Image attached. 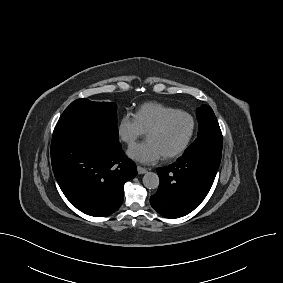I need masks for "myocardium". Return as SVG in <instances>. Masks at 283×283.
<instances>
[{
  "label": "myocardium",
  "instance_id": "1",
  "mask_svg": "<svg viewBox=\"0 0 283 283\" xmlns=\"http://www.w3.org/2000/svg\"><path fill=\"white\" fill-rule=\"evenodd\" d=\"M177 116H185V117L189 118V120L191 122V129H190L188 137L186 138L184 143L177 150H175L172 153L163 155V158H165L167 160L174 159V158L181 156L187 150V148L189 147V145H190V143H191V141L194 137L195 131H196V121H195L194 117L186 111L177 110L175 112L169 113L166 116H164L155 126H153L147 132V136H149L152 133H156V132L161 131L171 119H173L174 117H177Z\"/></svg>",
  "mask_w": 283,
  "mask_h": 283
}]
</instances>
